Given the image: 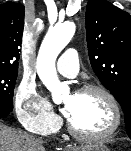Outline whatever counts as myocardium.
Segmentation results:
<instances>
[{
  "instance_id": "f54148a6",
  "label": "myocardium",
  "mask_w": 131,
  "mask_h": 151,
  "mask_svg": "<svg viewBox=\"0 0 131 151\" xmlns=\"http://www.w3.org/2000/svg\"><path fill=\"white\" fill-rule=\"evenodd\" d=\"M77 93L78 94L99 93L102 96H104L109 102L113 110V115H114L113 123L107 131L103 133H98V134H91V133H85V132L79 131L78 129L74 127L71 121L67 118L66 126H67L68 132L72 136L81 140H86V141H103L112 137L119 129L121 120H122L121 107L119 105L118 100L114 96V94L111 91H109L107 88L100 85H95V84L83 86L77 90Z\"/></svg>"
}]
</instances>
